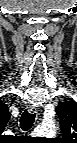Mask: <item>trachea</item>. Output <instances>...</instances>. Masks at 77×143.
Instances as JSON below:
<instances>
[{"label":"trachea","instance_id":"trachea-1","mask_svg":"<svg viewBox=\"0 0 77 143\" xmlns=\"http://www.w3.org/2000/svg\"><path fill=\"white\" fill-rule=\"evenodd\" d=\"M35 121V114L29 113L27 110L23 112L20 118V127L23 131H28Z\"/></svg>","mask_w":77,"mask_h":143}]
</instances>
